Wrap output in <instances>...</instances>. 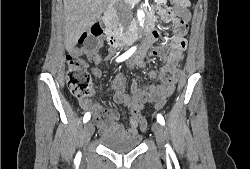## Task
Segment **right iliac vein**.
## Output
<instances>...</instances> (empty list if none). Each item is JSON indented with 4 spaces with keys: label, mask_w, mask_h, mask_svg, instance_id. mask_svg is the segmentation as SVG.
Instances as JSON below:
<instances>
[{
    "label": "right iliac vein",
    "mask_w": 250,
    "mask_h": 169,
    "mask_svg": "<svg viewBox=\"0 0 250 169\" xmlns=\"http://www.w3.org/2000/svg\"><path fill=\"white\" fill-rule=\"evenodd\" d=\"M94 132V126L92 123L87 122L84 129H83V137H84V143L87 145L93 135Z\"/></svg>",
    "instance_id": "1"
}]
</instances>
